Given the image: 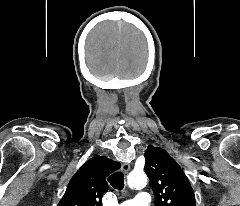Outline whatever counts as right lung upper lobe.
Instances as JSON below:
<instances>
[{
  "mask_svg": "<svg viewBox=\"0 0 240 206\" xmlns=\"http://www.w3.org/2000/svg\"><path fill=\"white\" fill-rule=\"evenodd\" d=\"M120 166L105 156L91 158L72 177L58 206H102L106 177Z\"/></svg>",
  "mask_w": 240,
  "mask_h": 206,
  "instance_id": "1",
  "label": "right lung upper lobe"
}]
</instances>
